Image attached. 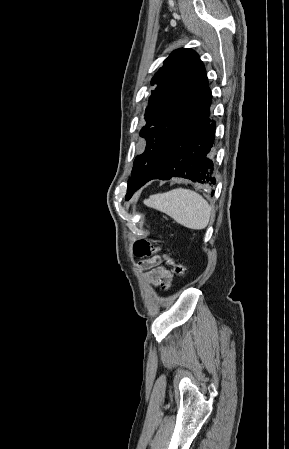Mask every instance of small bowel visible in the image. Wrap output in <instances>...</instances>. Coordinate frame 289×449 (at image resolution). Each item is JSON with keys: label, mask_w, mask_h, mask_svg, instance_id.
<instances>
[{"label": "small bowel", "mask_w": 289, "mask_h": 449, "mask_svg": "<svg viewBox=\"0 0 289 449\" xmlns=\"http://www.w3.org/2000/svg\"><path fill=\"white\" fill-rule=\"evenodd\" d=\"M140 268L146 272L150 282L160 289H168L171 286L174 275L166 267L161 265V258L157 255L143 259L139 263Z\"/></svg>", "instance_id": "small-bowel-1"}]
</instances>
